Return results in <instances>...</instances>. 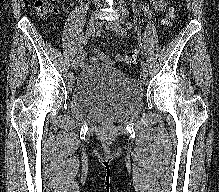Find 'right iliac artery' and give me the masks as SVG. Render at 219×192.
Returning <instances> with one entry per match:
<instances>
[{"instance_id": "right-iliac-artery-1", "label": "right iliac artery", "mask_w": 219, "mask_h": 192, "mask_svg": "<svg viewBox=\"0 0 219 192\" xmlns=\"http://www.w3.org/2000/svg\"><path fill=\"white\" fill-rule=\"evenodd\" d=\"M94 27L93 28H89L87 29V31L85 32L83 38H82V41H81V44L79 46V49H78V54L81 58H84L85 57V52H84V46L87 44L90 36L93 34L94 32Z\"/></svg>"}]
</instances>
